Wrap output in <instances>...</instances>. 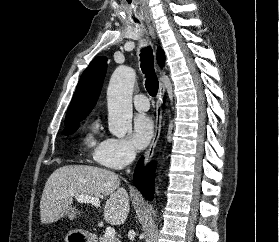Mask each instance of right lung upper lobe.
Returning a JSON list of instances; mask_svg holds the SVG:
<instances>
[{"label":"right lung upper lobe","instance_id":"right-lung-upper-lobe-1","mask_svg":"<svg viewBox=\"0 0 279 242\" xmlns=\"http://www.w3.org/2000/svg\"><path fill=\"white\" fill-rule=\"evenodd\" d=\"M164 60V52L161 48H158L157 61L160 66H163ZM106 67L107 59L101 56L93 59L85 69L69 106L65 124L80 122L93 109L101 91Z\"/></svg>","mask_w":279,"mask_h":242}]
</instances>
